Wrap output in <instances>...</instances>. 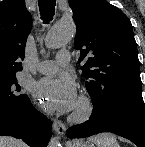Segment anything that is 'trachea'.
<instances>
[{"label": "trachea", "instance_id": "1", "mask_svg": "<svg viewBox=\"0 0 145 147\" xmlns=\"http://www.w3.org/2000/svg\"><path fill=\"white\" fill-rule=\"evenodd\" d=\"M41 19L48 23L55 14L56 0H38Z\"/></svg>", "mask_w": 145, "mask_h": 147}]
</instances>
